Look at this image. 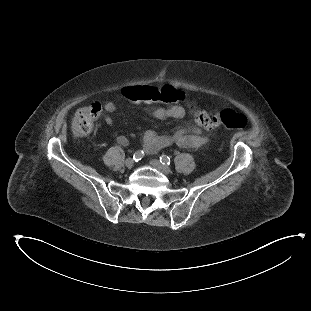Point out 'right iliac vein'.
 Returning a JSON list of instances; mask_svg holds the SVG:
<instances>
[{
    "instance_id": "63e3f726",
    "label": "right iliac vein",
    "mask_w": 311,
    "mask_h": 311,
    "mask_svg": "<svg viewBox=\"0 0 311 311\" xmlns=\"http://www.w3.org/2000/svg\"><path fill=\"white\" fill-rule=\"evenodd\" d=\"M133 165H134V160L132 159V158H128V159H126V161H125V166L127 167V168H132L133 167Z\"/></svg>"
}]
</instances>
